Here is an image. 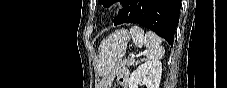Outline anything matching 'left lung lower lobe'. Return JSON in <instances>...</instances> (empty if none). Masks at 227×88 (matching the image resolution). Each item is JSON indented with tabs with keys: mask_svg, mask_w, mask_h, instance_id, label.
<instances>
[{
	"mask_svg": "<svg viewBox=\"0 0 227 88\" xmlns=\"http://www.w3.org/2000/svg\"><path fill=\"white\" fill-rule=\"evenodd\" d=\"M114 25L135 23L147 27L173 46L181 0H123Z\"/></svg>",
	"mask_w": 227,
	"mask_h": 88,
	"instance_id": "left-lung-lower-lobe-1",
	"label": "left lung lower lobe"
}]
</instances>
